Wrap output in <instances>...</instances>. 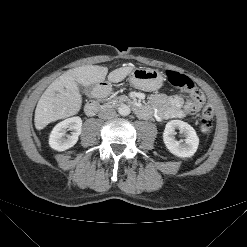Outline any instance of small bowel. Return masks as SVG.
Masks as SVG:
<instances>
[{"instance_id":"c3829d8e","label":"small bowel","mask_w":247,"mask_h":247,"mask_svg":"<svg viewBox=\"0 0 247 247\" xmlns=\"http://www.w3.org/2000/svg\"><path fill=\"white\" fill-rule=\"evenodd\" d=\"M151 104L152 107L147 109V116L153 113L159 121L178 119L185 115L182 109L184 97L180 95L167 96L162 93H155L151 96Z\"/></svg>"}]
</instances>
